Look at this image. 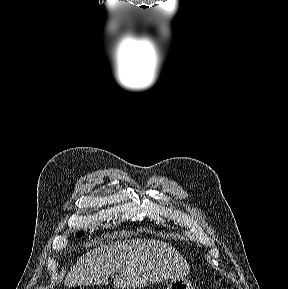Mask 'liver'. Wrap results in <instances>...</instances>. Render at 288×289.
Wrapping results in <instances>:
<instances>
[{
    "label": "liver",
    "instance_id": "6515ba94",
    "mask_svg": "<svg viewBox=\"0 0 288 289\" xmlns=\"http://www.w3.org/2000/svg\"><path fill=\"white\" fill-rule=\"evenodd\" d=\"M190 267L171 245L154 239H130L88 251L68 273L64 283L107 285L108 277L118 273L114 286L119 289L143 288L162 280L188 274Z\"/></svg>",
    "mask_w": 288,
    "mask_h": 289
}]
</instances>
